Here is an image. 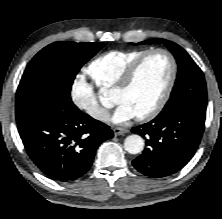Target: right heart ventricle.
<instances>
[{
  "label": "right heart ventricle",
  "mask_w": 222,
  "mask_h": 219,
  "mask_svg": "<svg viewBox=\"0 0 222 219\" xmlns=\"http://www.w3.org/2000/svg\"><path fill=\"white\" fill-rule=\"evenodd\" d=\"M147 49L112 50L96 57L86 67V73L100 89H113L130 64Z\"/></svg>",
  "instance_id": "right-heart-ventricle-1"
}]
</instances>
